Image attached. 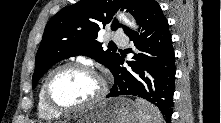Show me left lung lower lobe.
Listing matches in <instances>:
<instances>
[{"label": "left lung lower lobe", "instance_id": "left-lung-lower-lobe-1", "mask_svg": "<svg viewBox=\"0 0 221 123\" xmlns=\"http://www.w3.org/2000/svg\"><path fill=\"white\" fill-rule=\"evenodd\" d=\"M138 24L143 33L130 31L127 35L140 51L128 64L131 70L122 67L120 56L111 70L114 86L107 97L134 95L155 104L170 122L175 83V55L168 21L160 5L152 1L142 14Z\"/></svg>", "mask_w": 221, "mask_h": 123}]
</instances>
